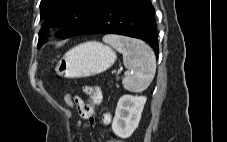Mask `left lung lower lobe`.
Wrapping results in <instances>:
<instances>
[{
	"mask_svg": "<svg viewBox=\"0 0 227 142\" xmlns=\"http://www.w3.org/2000/svg\"><path fill=\"white\" fill-rule=\"evenodd\" d=\"M102 33L142 39L158 57L154 7L150 0H108L73 36Z\"/></svg>",
	"mask_w": 227,
	"mask_h": 142,
	"instance_id": "0a47b994",
	"label": "left lung lower lobe"
}]
</instances>
